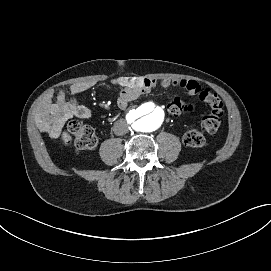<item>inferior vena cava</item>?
<instances>
[{"mask_svg": "<svg viewBox=\"0 0 271 271\" xmlns=\"http://www.w3.org/2000/svg\"><path fill=\"white\" fill-rule=\"evenodd\" d=\"M113 132L116 135H124L128 132L127 124L124 120H117L113 125Z\"/></svg>", "mask_w": 271, "mask_h": 271, "instance_id": "1", "label": "inferior vena cava"}]
</instances>
